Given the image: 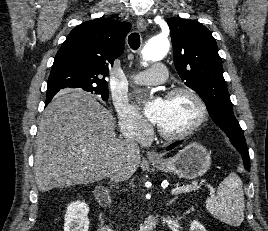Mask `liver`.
I'll return each instance as SVG.
<instances>
[{
    "label": "liver",
    "mask_w": 268,
    "mask_h": 231,
    "mask_svg": "<svg viewBox=\"0 0 268 231\" xmlns=\"http://www.w3.org/2000/svg\"><path fill=\"white\" fill-rule=\"evenodd\" d=\"M139 164L140 153L116 138L112 113L92 95L63 91L43 112L34 157L41 192L98 182L116 172L126 180Z\"/></svg>",
    "instance_id": "6515ba94"
}]
</instances>
